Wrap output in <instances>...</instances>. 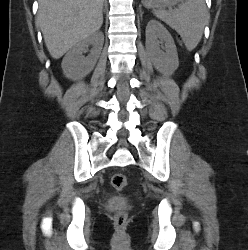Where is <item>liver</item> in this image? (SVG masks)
I'll return each instance as SVG.
<instances>
[{
  "instance_id": "obj_1",
  "label": "liver",
  "mask_w": 248,
  "mask_h": 250,
  "mask_svg": "<svg viewBox=\"0 0 248 250\" xmlns=\"http://www.w3.org/2000/svg\"><path fill=\"white\" fill-rule=\"evenodd\" d=\"M37 23L54 59L93 35L103 23L104 0H39Z\"/></svg>"
}]
</instances>
